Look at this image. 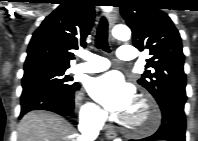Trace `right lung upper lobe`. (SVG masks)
Segmentation results:
<instances>
[{
	"instance_id": "cb5924a9",
	"label": "right lung upper lobe",
	"mask_w": 198,
	"mask_h": 141,
	"mask_svg": "<svg viewBox=\"0 0 198 141\" xmlns=\"http://www.w3.org/2000/svg\"><path fill=\"white\" fill-rule=\"evenodd\" d=\"M92 0H64L34 32L24 71L39 68H69L71 50L86 44L95 16Z\"/></svg>"
}]
</instances>
